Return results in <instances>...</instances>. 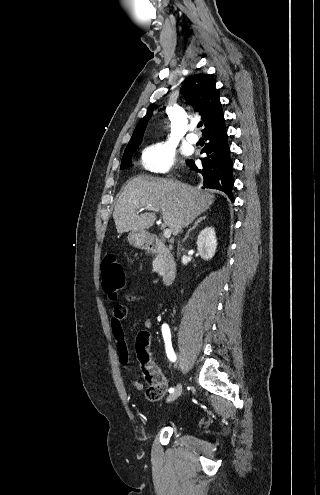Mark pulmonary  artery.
I'll return each instance as SVG.
<instances>
[{
    "instance_id": "pulmonary-artery-1",
    "label": "pulmonary artery",
    "mask_w": 320,
    "mask_h": 495,
    "mask_svg": "<svg viewBox=\"0 0 320 495\" xmlns=\"http://www.w3.org/2000/svg\"><path fill=\"white\" fill-rule=\"evenodd\" d=\"M187 141L190 143H196L199 140V137L195 133H189L186 137Z\"/></svg>"
}]
</instances>
